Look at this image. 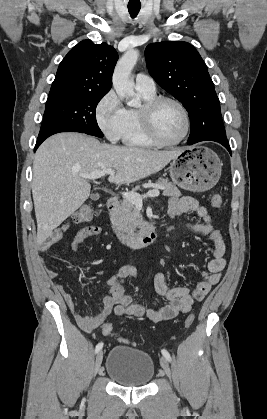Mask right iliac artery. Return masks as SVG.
Listing matches in <instances>:
<instances>
[{"instance_id":"1","label":"right iliac artery","mask_w":267,"mask_h":419,"mask_svg":"<svg viewBox=\"0 0 267 419\" xmlns=\"http://www.w3.org/2000/svg\"><path fill=\"white\" fill-rule=\"evenodd\" d=\"M102 347H103V343L102 342L98 343L95 348V353H98L102 349Z\"/></svg>"}]
</instances>
